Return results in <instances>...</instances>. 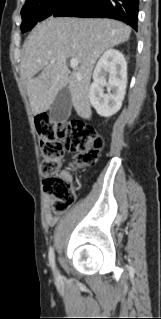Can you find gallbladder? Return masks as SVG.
Returning <instances> with one entry per match:
<instances>
[{
	"label": "gallbladder",
	"instance_id": "obj_1",
	"mask_svg": "<svg viewBox=\"0 0 161 319\" xmlns=\"http://www.w3.org/2000/svg\"><path fill=\"white\" fill-rule=\"evenodd\" d=\"M71 102H72V98H71V93L69 91L68 87H64L62 88L51 108H50V119L53 122H64L68 119V117L70 116V112H71Z\"/></svg>",
	"mask_w": 161,
	"mask_h": 319
}]
</instances>
